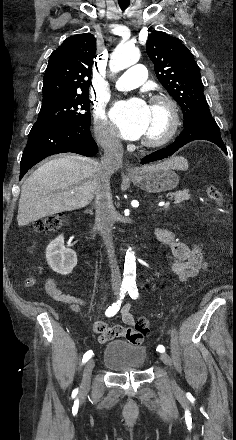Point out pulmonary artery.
<instances>
[{"label":"pulmonary artery","mask_w":236,"mask_h":440,"mask_svg":"<svg viewBox=\"0 0 236 440\" xmlns=\"http://www.w3.org/2000/svg\"><path fill=\"white\" fill-rule=\"evenodd\" d=\"M146 75L147 71L144 65H133L118 78L115 87L122 92L133 90L144 83Z\"/></svg>","instance_id":"1"}]
</instances>
